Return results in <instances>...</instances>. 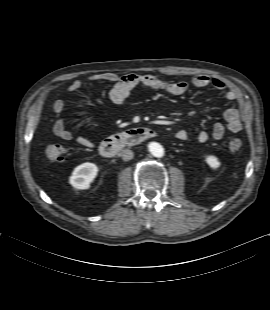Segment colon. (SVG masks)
Masks as SVG:
<instances>
[{"label": "colon", "instance_id": "colon-1", "mask_svg": "<svg viewBox=\"0 0 270 310\" xmlns=\"http://www.w3.org/2000/svg\"><path fill=\"white\" fill-rule=\"evenodd\" d=\"M242 142L239 138H231L228 141V147L232 152H238L241 149ZM65 153V149L60 144H51L46 147L45 155L46 158L52 162L62 160Z\"/></svg>", "mask_w": 270, "mask_h": 310}]
</instances>
